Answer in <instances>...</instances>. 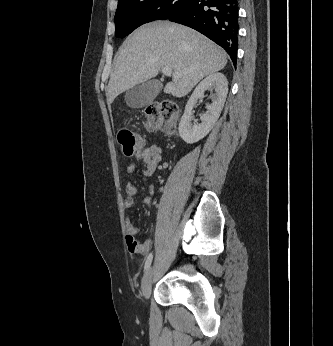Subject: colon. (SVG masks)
Instances as JSON below:
<instances>
[{
    "mask_svg": "<svg viewBox=\"0 0 333 346\" xmlns=\"http://www.w3.org/2000/svg\"><path fill=\"white\" fill-rule=\"evenodd\" d=\"M178 114L179 108L173 101L163 100L149 104L144 109L145 126L150 131L172 134L176 128ZM117 139L126 156H131L144 147L143 136L130 129H121Z\"/></svg>",
    "mask_w": 333,
    "mask_h": 346,
    "instance_id": "colon-1",
    "label": "colon"
}]
</instances>
